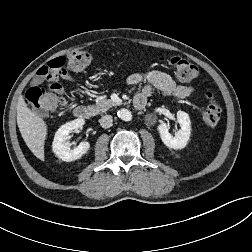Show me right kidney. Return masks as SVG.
Listing matches in <instances>:
<instances>
[{"mask_svg":"<svg viewBox=\"0 0 252 252\" xmlns=\"http://www.w3.org/2000/svg\"><path fill=\"white\" fill-rule=\"evenodd\" d=\"M84 119L78 118L62 125L57 132L52 144L53 152L63 161L70 162L81 158L90 148L87 141L81 142L74 149H70V143L67 142L68 135L75 129L84 125Z\"/></svg>","mask_w":252,"mask_h":252,"instance_id":"obj_1","label":"right kidney"}]
</instances>
